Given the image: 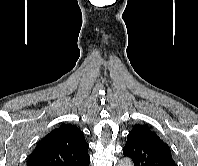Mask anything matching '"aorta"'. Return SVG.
<instances>
[{"label": "aorta", "instance_id": "aorta-1", "mask_svg": "<svg viewBox=\"0 0 198 166\" xmlns=\"http://www.w3.org/2000/svg\"><path fill=\"white\" fill-rule=\"evenodd\" d=\"M118 166H133V162L130 158H123L119 161Z\"/></svg>", "mask_w": 198, "mask_h": 166}]
</instances>
